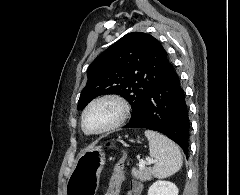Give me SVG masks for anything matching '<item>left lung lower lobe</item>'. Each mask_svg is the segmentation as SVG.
<instances>
[{
	"instance_id": "0a47b994",
	"label": "left lung lower lobe",
	"mask_w": 240,
	"mask_h": 195,
	"mask_svg": "<svg viewBox=\"0 0 240 195\" xmlns=\"http://www.w3.org/2000/svg\"><path fill=\"white\" fill-rule=\"evenodd\" d=\"M124 128L158 131L175 141L187 154L188 108L179 76L171 63L164 78L150 90L143 107Z\"/></svg>"
}]
</instances>
